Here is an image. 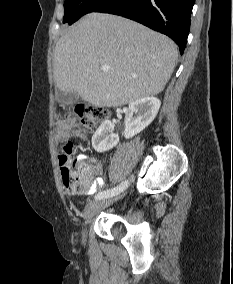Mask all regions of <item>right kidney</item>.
Here are the masks:
<instances>
[{
  "instance_id": "right-kidney-1",
  "label": "right kidney",
  "mask_w": 233,
  "mask_h": 284,
  "mask_svg": "<svg viewBox=\"0 0 233 284\" xmlns=\"http://www.w3.org/2000/svg\"><path fill=\"white\" fill-rule=\"evenodd\" d=\"M160 105V100L153 96L131 102L125 117L124 137L132 138L150 125ZM118 142L119 137L114 133V125L111 121L103 122L92 137V146L97 152L107 151L115 147Z\"/></svg>"
}]
</instances>
